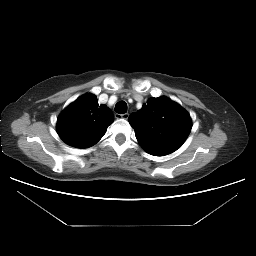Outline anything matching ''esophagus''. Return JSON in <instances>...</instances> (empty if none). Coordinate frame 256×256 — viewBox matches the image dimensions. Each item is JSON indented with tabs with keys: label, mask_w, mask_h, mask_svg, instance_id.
<instances>
[{
	"label": "esophagus",
	"mask_w": 256,
	"mask_h": 256,
	"mask_svg": "<svg viewBox=\"0 0 256 256\" xmlns=\"http://www.w3.org/2000/svg\"><path fill=\"white\" fill-rule=\"evenodd\" d=\"M128 114L127 113H125V114H115V117L117 118V119H127L128 118Z\"/></svg>",
	"instance_id": "34e87169"
}]
</instances>
